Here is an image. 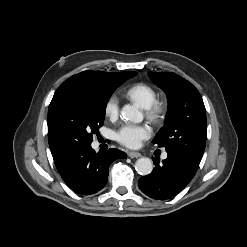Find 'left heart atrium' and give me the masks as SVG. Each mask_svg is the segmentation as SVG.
Returning <instances> with one entry per match:
<instances>
[{
  "label": "left heart atrium",
  "mask_w": 247,
  "mask_h": 247,
  "mask_svg": "<svg viewBox=\"0 0 247 247\" xmlns=\"http://www.w3.org/2000/svg\"><path fill=\"white\" fill-rule=\"evenodd\" d=\"M150 136L146 125L125 124L116 133L119 143L128 148H137L141 142Z\"/></svg>",
  "instance_id": "39dd6f15"
}]
</instances>
